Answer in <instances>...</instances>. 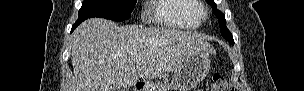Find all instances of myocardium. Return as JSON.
<instances>
[{
	"label": "myocardium",
	"instance_id": "obj_1",
	"mask_svg": "<svg viewBox=\"0 0 304 91\" xmlns=\"http://www.w3.org/2000/svg\"><path fill=\"white\" fill-rule=\"evenodd\" d=\"M207 16H208V14H207V12H206V11H201V12H200V18H202V19H206V18H207Z\"/></svg>",
	"mask_w": 304,
	"mask_h": 91
}]
</instances>
